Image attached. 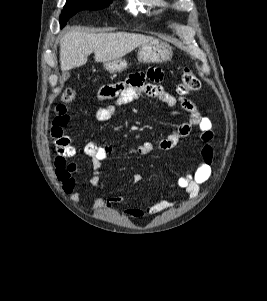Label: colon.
Wrapping results in <instances>:
<instances>
[{
    "label": "colon",
    "instance_id": "5ec220e1",
    "mask_svg": "<svg viewBox=\"0 0 267 301\" xmlns=\"http://www.w3.org/2000/svg\"><path fill=\"white\" fill-rule=\"evenodd\" d=\"M199 87L200 82L196 75L190 69H185L178 85L179 93L182 95L189 94L196 91ZM75 96L76 92L73 88H66L62 93L61 100L64 103H69L74 100Z\"/></svg>",
    "mask_w": 267,
    "mask_h": 301
}]
</instances>
